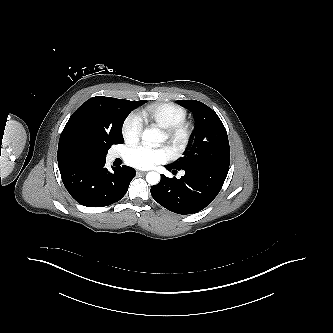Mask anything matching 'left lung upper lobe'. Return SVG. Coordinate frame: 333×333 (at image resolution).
Returning a JSON list of instances; mask_svg holds the SVG:
<instances>
[{"label":"left lung upper lobe","mask_w":333,"mask_h":333,"mask_svg":"<svg viewBox=\"0 0 333 333\" xmlns=\"http://www.w3.org/2000/svg\"><path fill=\"white\" fill-rule=\"evenodd\" d=\"M190 110L196 120L194 143L184 156L169 164L177 170L202 165L229 168L230 148L226 129L218 115L207 105L196 100H178Z\"/></svg>","instance_id":"obj_1"}]
</instances>
